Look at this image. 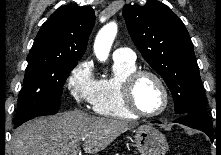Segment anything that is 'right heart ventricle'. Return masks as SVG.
<instances>
[{
	"label": "right heart ventricle",
	"instance_id": "1",
	"mask_svg": "<svg viewBox=\"0 0 221 155\" xmlns=\"http://www.w3.org/2000/svg\"><path fill=\"white\" fill-rule=\"evenodd\" d=\"M135 70V62L114 60L112 75L96 81L92 107L97 114L117 119L136 117L125 107L121 93L124 79Z\"/></svg>",
	"mask_w": 221,
	"mask_h": 155
}]
</instances>
